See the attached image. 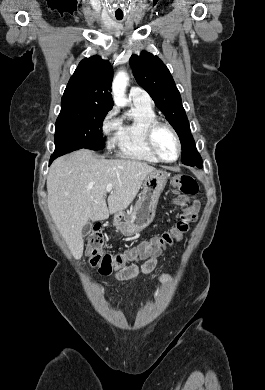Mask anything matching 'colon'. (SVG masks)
Masks as SVG:
<instances>
[{"mask_svg": "<svg viewBox=\"0 0 265 390\" xmlns=\"http://www.w3.org/2000/svg\"><path fill=\"white\" fill-rule=\"evenodd\" d=\"M173 186L185 196H196L199 191L197 181L190 175L179 174L173 178ZM197 203H189L181 213L176 224L168 231L144 241L132 252L111 254L103 250L104 236L100 226L96 225L90 233L86 246V254L90 264L97 268L101 275H110L127 267L132 260L146 259L161 254L162 250L180 240L189 231L191 224L196 220Z\"/></svg>", "mask_w": 265, "mask_h": 390, "instance_id": "1", "label": "colon"}]
</instances>
